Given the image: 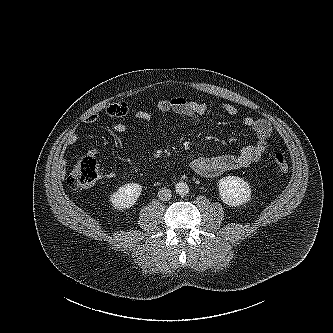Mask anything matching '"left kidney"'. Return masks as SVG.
<instances>
[{"label": "left kidney", "instance_id": "1", "mask_svg": "<svg viewBox=\"0 0 333 333\" xmlns=\"http://www.w3.org/2000/svg\"><path fill=\"white\" fill-rule=\"evenodd\" d=\"M221 200L229 206H240L251 200L249 184L237 176H227L219 180Z\"/></svg>", "mask_w": 333, "mask_h": 333}]
</instances>
